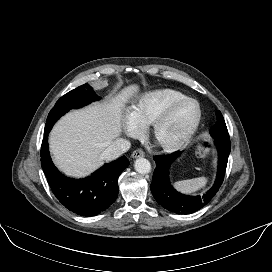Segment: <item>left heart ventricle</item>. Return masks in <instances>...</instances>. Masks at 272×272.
I'll return each mask as SVG.
<instances>
[{
	"label": "left heart ventricle",
	"instance_id": "left-heart-ventricle-1",
	"mask_svg": "<svg viewBox=\"0 0 272 272\" xmlns=\"http://www.w3.org/2000/svg\"><path fill=\"white\" fill-rule=\"evenodd\" d=\"M197 115V108L193 103H184L177 107L160 131V138L164 141H175L183 137L192 126Z\"/></svg>",
	"mask_w": 272,
	"mask_h": 272
}]
</instances>
